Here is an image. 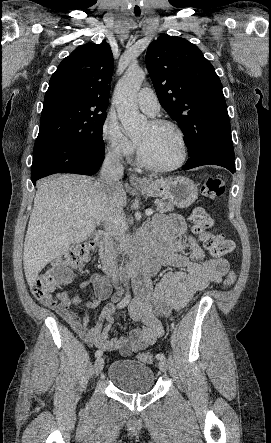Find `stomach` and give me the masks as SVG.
Wrapping results in <instances>:
<instances>
[{
	"mask_svg": "<svg viewBox=\"0 0 271 443\" xmlns=\"http://www.w3.org/2000/svg\"><path fill=\"white\" fill-rule=\"evenodd\" d=\"M145 186L134 188L146 198H166L177 208H189L198 196V188L189 178H161V180H142Z\"/></svg>",
	"mask_w": 271,
	"mask_h": 443,
	"instance_id": "0dacf381",
	"label": "stomach"
}]
</instances>
